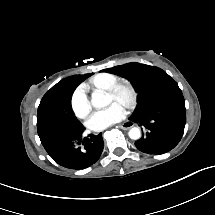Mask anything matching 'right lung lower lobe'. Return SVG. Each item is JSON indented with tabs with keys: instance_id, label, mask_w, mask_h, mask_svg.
<instances>
[{
	"instance_id": "98d812e1",
	"label": "right lung lower lobe",
	"mask_w": 215,
	"mask_h": 215,
	"mask_svg": "<svg viewBox=\"0 0 215 215\" xmlns=\"http://www.w3.org/2000/svg\"><path fill=\"white\" fill-rule=\"evenodd\" d=\"M83 131L49 128L38 134L56 163L69 169H83L97 162L104 147L101 133L88 138L82 137Z\"/></svg>"
}]
</instances>
